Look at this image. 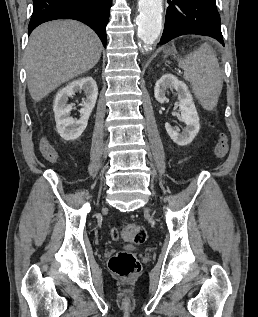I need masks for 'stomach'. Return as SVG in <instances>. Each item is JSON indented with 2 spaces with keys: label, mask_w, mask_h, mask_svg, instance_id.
I'll return each instance as SVG.
<instances>
[{
  "label": "stomach",
  "mask_w": 258,
  "mask_h": 317,
  "mask_svg": "<svg viewBox=\"0 0 258 317\" xmlns=\"http://www.w3.org/2000/svg\"><path fill=\"white\" fill-rule=\"evenodd\" d=\"M170 52H171V54H175L176 50H169V48H168V50H166L165 56H167V54H170Z\"/></svg>",
  "instance_id": "1"
}]
</instances>
